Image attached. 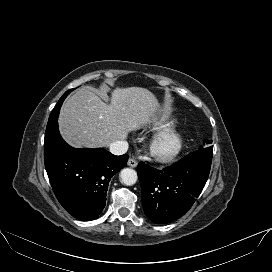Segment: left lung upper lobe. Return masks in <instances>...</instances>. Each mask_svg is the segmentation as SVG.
Instances as JSON below:
<instances>
[{"instance_id": "5c2ea615", "label": "left lung upper lobe", "mask_w": 272, "mask_h": 272, "mask_svg": "<svg viewBox=\"0 0 272 272\" xmlns=\"http://www.w3.org/2000/svg\"><path fill=\"white\" fill-rule=\"evenodd\" d=\"M210 143H212V140L207 141V144H210ZM201 148H202V147H201Z\"/></svg>"}]
</instances>
